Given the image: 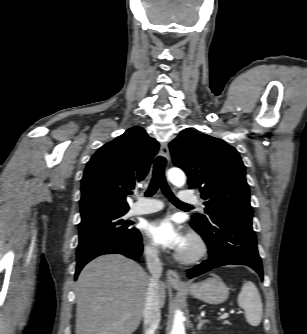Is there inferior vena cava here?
I'll return each mask as SVG.
<instances>
[{"mask_svg":"<svg viewBox=\"0 0 307 334\" xmlns=\"http://www.w3.org/2000/svg\"><path fill=\"white\" fill-rule=\"evenodd\" d=\"M158 253L156 247H146L145 249L147 267L151 274L143 312L145 334H154L161 320L159 283L162 274V263Z\"/></svg>","mask_w":307,"mask_h":334,"instance_id":"1","label":"inferior vena cava"}]
</instances>
